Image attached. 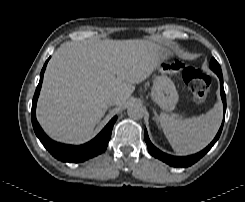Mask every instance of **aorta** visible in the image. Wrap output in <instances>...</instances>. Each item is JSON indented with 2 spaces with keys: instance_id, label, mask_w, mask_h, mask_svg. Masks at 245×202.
<instances>
[{
  "instance_id": "aorta-1",
  "label": "aorta",
  "mask_w": 245,
  "mask_h": 202,
  "mask_svg": "<svg viewBox=\"0 0 245 202\" xmlns=\"http://www.w3.org/2000/svg\"><path fill=\"white\" fill-rule=\"evenodd\" d=\"M128 116L134 120H139L144 115V109L138 104H132L127 109Z\"/></svg>"
}]
</instances>
